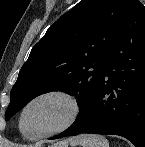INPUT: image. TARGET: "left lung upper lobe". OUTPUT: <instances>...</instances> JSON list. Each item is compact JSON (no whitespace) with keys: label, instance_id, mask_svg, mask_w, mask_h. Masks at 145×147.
Listing matches in <instances>:
<instances>
[{"label":"left lung upper lobe","instance_id":"5c2ea615","mask_svg":"<svg viewBox=\"0 0 145 147\" xmlns=\"http://www.w3.org/2000/svg\"><path fill=\"white\" fill-rule=\"evenodd\" d=\"M130 1L81 0L50 26L19 72L5 119L33 98L57 90L77 100L79 115L68 129L75 128L94 96Z\"/></svg>","mask_w":145,"mask_h":147}]
</instances>
